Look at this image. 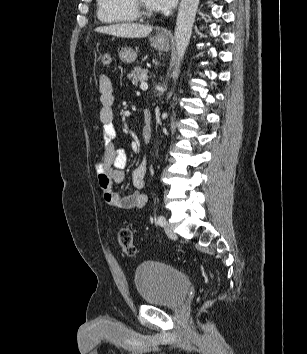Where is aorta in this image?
<instances>
[{
  "label": "aorta",
  "instance_id": "aorta-1",
  "mask_svg": "<svg viewBox=\"0 0 307 354\" xmlns=\"http://www.w3.org/2000/svg\"><path fill=\"white\" fill-rule=\"evenodd\" d=\"M200 0H181L175 27V68L172 77L175 79L179 74L180 63L189 45L192 28ZM166 116V113L163 114Z\"/></svg>",
  "mask_w": 307,
  "mask_h": 354
}]
</instances>
